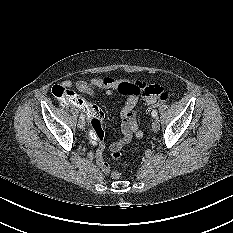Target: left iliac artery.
<instances>
[{
	"instance_id": "obj_1",
	"label": "left iliac artery",
	"mask_w": 233,
	"mask_h": 233,
	"mask_svg": "<svg viewBox=\"0 0 233 233\" xmlns=\"http://www.w3.org/2000/svg\"><path fill=\"white\" fill-rule=\"evenodd\" d=\"M151 114H152V117L157 118V111L156 110H153Z\"/></svg>"
}]
</instances>
